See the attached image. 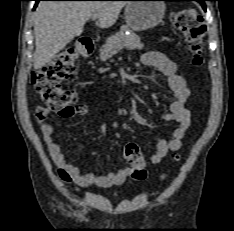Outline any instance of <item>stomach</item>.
<instances>
[{
  "label": "stomach",
  "instance_id": "1",
  "mask_svg": "<svg viewBox=\"0 0 234 231\" xmlns=\"http://www.w3.org/2000/svg\"><path fill=\"white\" fill-rule=\"evenodd\" d=\"M165 3L160 0H132L125 7L127 26L136 32L156 27L165 14Z\"/></svg>",
  "mask_w": 234,
  "mask_h": 231
}]
</instances>
